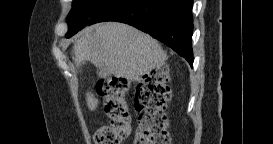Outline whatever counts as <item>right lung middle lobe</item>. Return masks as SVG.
I'll use <instances>...</instances> for the list:
<instances>
[{
	"label": "right lung middle lobe",
	"mask_w": 273,
	"mask_h": 144,
	"mask_svg": "<svg viewBox=\"0 0 273 144\" xmlns=\"http://www.w3.org/2000/svg\"><path fill=\"white\" fill-rule=\"evenodd\" d=\"M111 0H73L72 9L67 17L69 38L86 26L87 22Z\"/></svg>",
	"instance_id": "obj_1"
}]
</instances>
